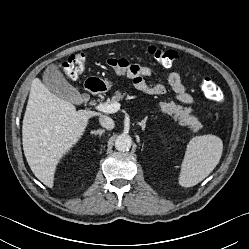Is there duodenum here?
I'll use <instances>...</instances> for the list:
<instances>
[{
    "label": "duodenum",
    "instance_id": "410a0bca",
    "mask_svg": "<svg viewBox=\"0 0 249 249\" xmlns=\"http://www.w3.org/2000/svg\"><path fill=\"white\" fill-rule=\"evenodd\" d=\"M86 90L94 95H99L103 91V87L100 83L98 82H87L86 83Z\"/></svg>",
    "mask_w": 249,
    "mask_h": 249
}]
</instances>
